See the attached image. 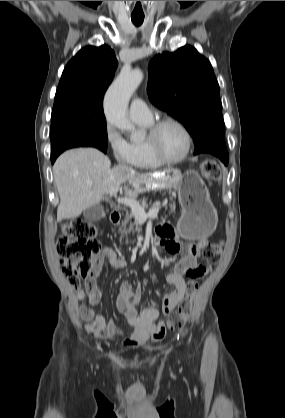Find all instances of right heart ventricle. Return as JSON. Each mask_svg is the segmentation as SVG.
<instances>
[{"instance_id": "1", "label": "right heart ventricle", "mask_w": 285, "mask_h": 418, "mask_svg": "<svg viewBox=\"0 0 285 418\" xmlns=\"http://www.w3.org/2000/svg\"><path fill=\"white\" fill-rule=\"evenodd\" d=\"M141 127H149L151 122H136ZM131 151L132 164L141 168H157L163 163L156 160L150 153L146 140H131L128 142Z\"/></svg>"}]
</instances>
